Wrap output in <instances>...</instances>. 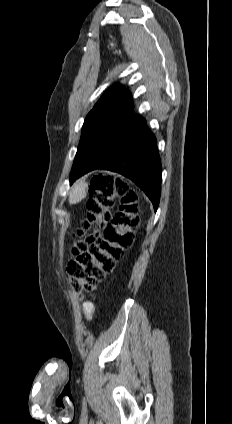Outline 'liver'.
<instances>
[{
	"label": "liver",
	"mask_w": 232,
	"mask_h": 424,
	"mask_svg": "<svg viewBox=\"0 0 232 424\" xmlns=\"http://www.w3.org/2000/svg\"><path fill=\"white\" fill-rule=\"evenodd\" d=\"M87 183L84 180L77 181L69 193V203L76 204L86 197Z\"/></svg>",
	"instance_id": "obj_1"
}]
</instances>
